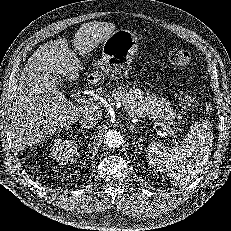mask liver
Wrapping results in <instances>:
<instances>
[{
  "mask_svg": "<svg viewBox=\"0 0 231 231\" xmlns=\"http://www.w3.org/2000/svg\"><path fill=\"white\" fill-rule=\"evenodd\" d=\"M114 30L115 25L107 22L83 24L73 40L75 50L84 56ZM80 69V60L65 37L44 43L31 55L19 78L10 115L9 131L17 153L77 122L87 112L102 118L99 103L75 104L60 91L58 77L76 80Z\"/></svg>",
  "mask_w": 231,
  "mask_h": 231,
  "instance_id": "1",
  "label": "liver"
}]
</instances>
